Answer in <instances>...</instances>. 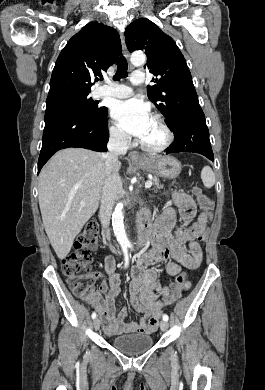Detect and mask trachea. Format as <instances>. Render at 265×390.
<instances>
[{
  "instance_id": "3493384b",
  "label": "trachea",
  "mask_w": 265,
  "mask_h": 390,
  "mask_svg": "<svg viewBox=\"0 0 265 390\" xmlns=\"http://www.w3.org/2000/svg\"><path fill=\"white\" fill-rule=\"evenodd\" d=\"M117 72L114 75L115 80H120L123 77H127L128 65L124 56H120L117 59Z\"/></svg>"
}]
</instances>
